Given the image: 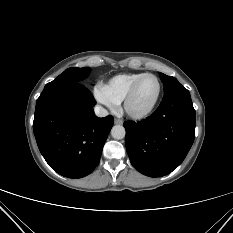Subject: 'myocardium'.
Instances as JSON below:
<instances>
[{
	"instance_id": "1",
	"label": "myocardium",
	"mask_w": 233,
	"mask_h": 233,
	"mask_svg": "<svg viewBox=\"0 0 233 233\" xmlns=\"http://www.w3.org/2000/svg\"><path fill=\"white\" fill-rule=\"evenodd\" d=\"M147 77H152L157 81L158 90H157L156 97H155L154 101L152 102V104L148 108H146L145 110L133 111L130 108V103H131V101H132V99H133V97H134V95H135V93L137 91V88H138L139 84ZM161 90H162V85H161V82H160L159 78L156 75L151 74V73L143 74L141 77H139L133 83V85L129 89L128 93L126 94V96H125V98L123 100L124 112L132 119L141 120V119L147 118L155 110V108H156V106H157V104L159 102L160 96H161Z\"/></svg>"
}]
</instances>
